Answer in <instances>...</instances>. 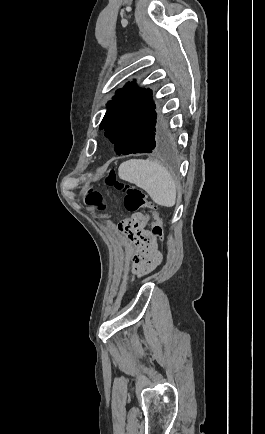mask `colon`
Returning <instances> with one entry per match:
<instances>
[{
    "instance_id": "obj_1",
    "label": "colon",
    "mask_w": 265,
    "mask_h": 434,
    "mask_svg": "<svg viewBox=\"0 0 265 434\" xmlns=\"http://www.w3.org/2000/svg\"><path fill=\"white\" fill-rule=\"evenodd\" d=\"M115 171L110 170L105 179L107 185H113L115 179ZM117 188L123 192V203L126 210L130 212H138L140 210H149V219L152 222V233L158 239H162L163 232V219L152 204L148 195L141 189L129 185L116 184ZM102 201V194L95 189H89L86 195L85 202L90 207H98Z\"/></svg>"
}]
</instances>
